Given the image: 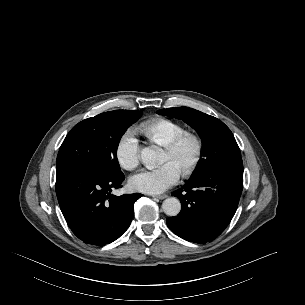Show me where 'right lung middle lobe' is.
<instances>
[{
  "mask_svg": "<svg viewBox=\"0 0 305 305\" xmlns=\"http://www.w3.org/2000/svg\"><path fill=\"white\" fill-rule=\"evenodd\" d=\"M142 110H114L79 122L66 136L56 161V172L81 170L96 175L122 173L116 148L126 129Z\"/></svg>",
  "mask_w": 305,
  "mask_h": 305,
  "instance_id": "obj_1",
  "label": "right lung middle lobe"
}]
</instances>
